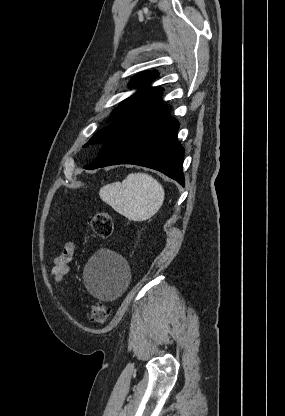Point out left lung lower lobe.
<instances>
[{"label": "left lung lower lobe", "mask_w": 285, "mask_h": 416, "mask_svg": "<svg viewBox=\"0 0 285 416\" xmlns=\"http://www.w3.org/2000/svg\"><path fill=\"white\" fill-rule=\"evenodd\" d=\"M179 123L163 107L142 116L113 134L85 169L136 164L163 172L184 185V148L177 141Z\"/></svg>", "instance_id": "obj_1"}]
</instances>
